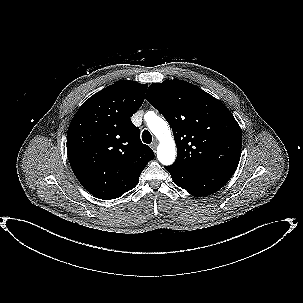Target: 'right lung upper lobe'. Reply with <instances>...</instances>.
Masks as SVG:
<instances>
[{"instance_id":"right-lung-upper-lobe-1","label":"right lung upper lobe","mask_w":303,"mask_h":303,"mask_svg":"<svg viewBox=\"0 0 303 303\" xmlns=\"http://www.w3.org/2000/svg\"><path fill=\"white\" fill-rule=\"evenodd\" d=\"M147 86L117 81L90 97L70 123L71 168L81 185L99 199H115L133 189L154 158L130 119L141 107Z\"/></svg>"}]
</instances>
